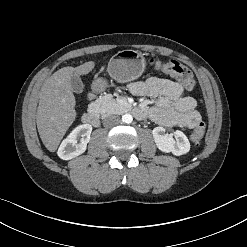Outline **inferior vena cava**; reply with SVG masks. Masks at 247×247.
Here are the masks:
<instances>
[{"mask_svg": "<svg viewBox=\"0 0 247 247\" xmlns=\"http://www.w3.org/2000/svg\"><path fill=\"white\" fill-rule=\"evenodd\" d=\"M120 118L116 115H110L107 116L104 120H103V124L104 126H114L120 123Z\"/></svg>", "mask_w": 247, "mask_h": 247, "instance_id": "inferior-vena-cava-1", "label": "inferior vena cava"}]
</instances>
